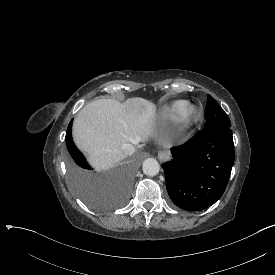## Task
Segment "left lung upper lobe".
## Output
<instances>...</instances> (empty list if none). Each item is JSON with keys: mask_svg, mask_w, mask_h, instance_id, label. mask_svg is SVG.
<instances>
[{"mask_svg": "<svg viewBox=\"0 0 275 275\" xmlns=\"http://www.w3.org/2000/svg\"><path fill=\"white\" fill-rule=\"evenodd\" d=\"M204 116L206 118L205 127L217 125L231 126L230 119L224 110L210 95H208V102L206 104Z\"/></svg>", "mask_w": 275, "mask_h": 275, "instance_id": "1", "label": "left lung upper lobe"}]
</instances>
